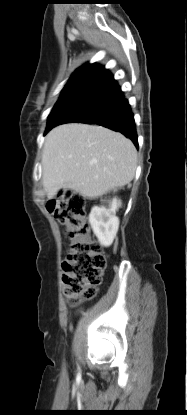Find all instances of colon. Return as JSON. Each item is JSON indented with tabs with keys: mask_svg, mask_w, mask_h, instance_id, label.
<instances>
[{
	"mask_svg": "<svg viewBox=\"0 0 187 415\" xmlns=\"http://www.w3.org/2000/svg\"><path fill=\"white\" fill-rule=\"evenodd\" d=\"M48 209L65 227L69 240L62 264V281L68 302L75 306L96 294L106 267V257L91 236L82 195L63 191L48 204Z\"/></svg>",
	"mask_w": 187,
	"mask_h": 415,
	"instance_id": "5ec220e1",
	"label": "colon"
}]
</instances>
